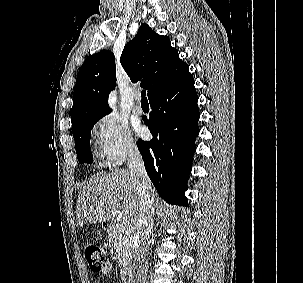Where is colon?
Wrapping results in <instances>:
<instances>
[{"mask_svg":"<svg viewBox=\"0 0 303 283\" xmlns=\"http://www.w3.org/2000/svg\"><path fill=\"white\" fill-rule=\"evenodd\" d=\"M109 255L110 250L105 245L90 242L84 246V257L92 272L103 271Z\"/></svg>","mask_w":303,"mask_h":283,"instance_id":"obj_1","label":"colon"}]
</instances>
